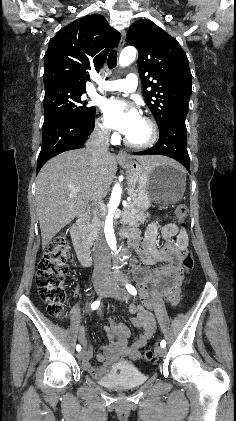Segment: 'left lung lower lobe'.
I'll return each instance as SVG.
<instances>
[{"instance_id":"0a47b994","label":"left lung lower lobe","mask_w":236,"mask_h":421,"mask_svg":"<svg viewBox=\"0 0 236 421\" xmlns=\"http://www.w3.org/2000/svg\"><path fill=\"white\" fill-rule=\"evenodd\" d=\"M187 114L175 113L159 127L158 142L150 149L135 152L134 155H164L180 162L190 173V158L187 151Z\"/></svg>"}]
</instances>
